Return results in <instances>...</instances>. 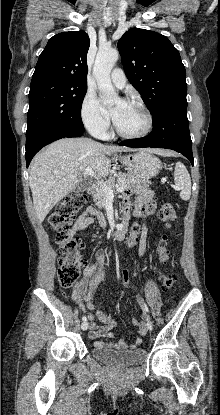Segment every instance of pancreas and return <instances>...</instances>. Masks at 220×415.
<instances>
[{
	"instance_id": "1",
	"label": "pancreas",
	"mask_w": 220,
	"mask_h": 415,
	"mask_svg": "<svg viewBox=\"0 0 220 415\" xmlns=\"http://www.w3.org/2000/svg\"><path fill=\"white\" fill-rule=\"evenodd\" d=\"M107 185H109L112 189H114L117 185L122 186L124 189H131V190H138L142 187L143 184H150L148 180L141 179L135 175L128 174V173H121L117 174V179L114 176H110L109 179L106 181ZM95 204L99 208H105L106 205V195L100 183H97L92 192Z\"/></svg>"
}]
</instances>
